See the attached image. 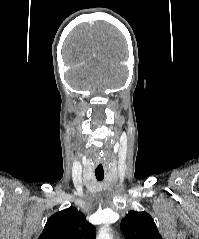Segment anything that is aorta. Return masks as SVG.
<instances>
[{
  "label": "aorta",
  "mask_w": 199,
  "mask_h": 239,
  "mask_svg": "<svg viewBox=\"0 0 199 239\" xmlns=\"http://www.w3.org/2000/svg\"><path fill=\"white\" fill-rule=\"evenodd\" d=\"M96 239H111L109 233V225L106 224L100 228Z\"/></svg>",
  "instance_id": "obj_1"
}]
</instances>
